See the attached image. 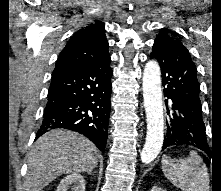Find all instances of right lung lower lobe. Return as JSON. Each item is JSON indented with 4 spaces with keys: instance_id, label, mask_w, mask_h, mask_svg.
Here are the masks:
<instances>
[{
    "instance_id": "1",
    "label": "right lung lower lobe",
    "mask_w": 221,
    "mask_h": 191,
    "mask_svg": "<svg viewBox=\"0 0 221 191\" xmlns=\"http://www.w3.org/2000/svg\"><path fill=\"white\" fill-rule=\"evenodd\" d=\"M111 76L110 62L52 75L36 139L50 129L65 128L85 135L104 151L111 108Z\"/></svg>"
}]
</instances>
